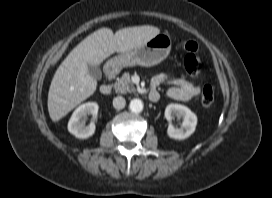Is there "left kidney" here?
Segmentation results:
<instances>
[{
    "instance_id": "left-kidney-1",
    "label": "left kidney",
    "mask_w": 272,
    "mask_h": 198,
    "mask_svg": "<svg viewBox=\"0 0 272 198\" xmlns=\"http://www.w3.org/2000/svg\"><path fill=\"white\" fill-rule=\"evenodd\" d=\"M174 116L183 117L181 128H175L169 123L167 134L170 138L183 140L191 136L197 125V116L188 107L180 104H169L165 109V117L171 121Z\"/></svg>"
}]
</instances>
